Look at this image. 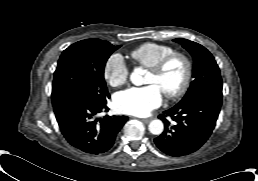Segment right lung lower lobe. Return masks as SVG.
Returning a JSON list of instances; mask_svg holds the SVG:
<instances>
[{"mask_svg":"<svg viewBox=\"0 0 258 181\" xmlns=\"http://www.w3.org/2000/svg\"><path fill=\"white\" fill-rule=\"evenodd\" d=\"M52 104L65 139L75 148L89 154L108 151L128 120L127 116H105L99 119L96 117L98 113L108 111L106 102L97 104L71 94L52 96Z\"/></svg>","mask_w":258,"mask_h":181,"instance_id":"obj_1","label":"right lung lower lobe"}]
</instances>
